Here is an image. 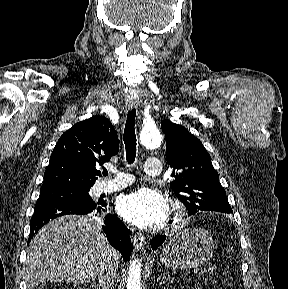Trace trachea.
<instances>
[{
	"label": "trachea",
	"mask_w": 288,
	"mask_h": 289,
	"mask_svg": "<svg viewBox=\"0 0 288 289\" xmlns=\"http://www.w3.org/2000/svg\"><path fill=\"white\" fill-rule=\"evenodd\" d=\"M135 117H136V110L132 109L127 114V120L125 124L124 130V144L126 150V160L128 163H133L136 157V134H135ZM103 175L107 176L108 171L104 170Z\"/></svg>",
	"instance_id": "1"
}]
</instances>
